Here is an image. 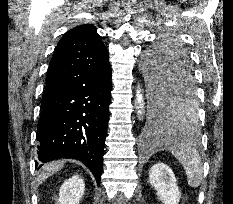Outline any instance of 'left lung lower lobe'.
Segmentation results:
<instances>
[{
	"label": "left lung lower lobe",
	"mask_w": 233,
	"mask_h": 204,
	"mask_svg": "<svg viewBox=\"0 0 233 204\" xmlns=\"http://www.w3.org/2000/svg\"><path fill=\"white\" fill-rule=\"evenodd\" d=\"M174 65L172 72L162 82V90L159 93V100L155 105L152 115H150V124L148 127V139L152 141L157 134H164L163 126L167 119V105L182 94L195 95L196 87L193 82V72L185 55L182 53H173Z\"/></svg>",
	"instance_id": "1"
}]
</instances>
